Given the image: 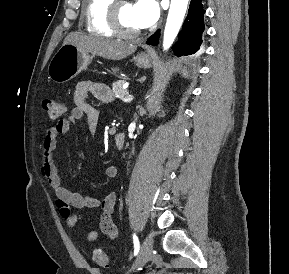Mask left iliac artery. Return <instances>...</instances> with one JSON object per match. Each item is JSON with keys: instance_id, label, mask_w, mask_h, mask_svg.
<instances>
[{"instance_id": "left-iliac-artery-1", "label": "left iliac artery", "mask_w": 289, "mask_h": 274, "mask_svg": "<svg viewBox=\"0 0 289 274\" xmlns=\"http://www.w3.org/2000/svg\"><path fill=\"white\" fill-rule=\"evenodd\" d=\"M133 243H134V255L136 256L140 249L139 240L136 234H133Z\"/></svg>"}]
</instances>
